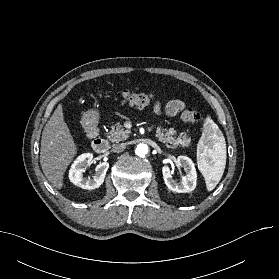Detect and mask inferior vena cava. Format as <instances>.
Listing matches in <instances>:
<instances>
[{"mask_svg":"<svg viewBox=\"0 0 279 279\" xmlns=\"http://www.w3.org/2000/svg\"><path fill=\"white\" fill-rule=\"evenodd\" d=\"M124 147H125L124 143L117 144V145L113 146L112 151L115 152V153H119L124 149Z\"/></svg>","mask_w":279,"mask_h":279,"instance_id":"1","label":"inferior vena cava"}]
</instances>
